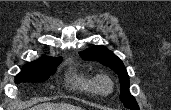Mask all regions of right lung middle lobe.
Masks as SVG:
<instances>
[{
  "label": "right lung middle lobe",
  "instance_id": "dd1d6c3e",
  "mask_svg": "<svg viewBox=\"0 0 171 110\" xmlns=\"http://www.w3.org/2000/svg\"><path fill=\"white\" fill-rule=\"evenodd\" d=\"M62 58H54L42 62H32L22 68L16 76L15 82H42L49 78L61 63Z\"/></svg>",
  "mask_w": 171,
  "mask_h": 110
}]
</instances>
